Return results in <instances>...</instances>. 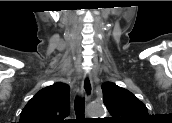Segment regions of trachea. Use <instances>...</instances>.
<instances>
[{
  "label": "trachea",
  "mask_w": 172,
  "mask_h": 123,
  "mask_svg": "<svg viewBox=\"0 0 172 123\" xmlns=\"http://www.w3.org/2000/svg\"><path fill=\"white\" fill-rule=\"evenodd\" d=\"M75 114L77 117V120H83L84 119V107H85V99H75Z\"/></svg>",
  "instance_id": "3493384b"
}]
</instances>
